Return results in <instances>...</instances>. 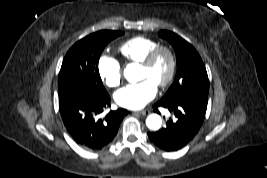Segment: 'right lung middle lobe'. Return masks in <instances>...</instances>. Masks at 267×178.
Here are the masks:
<instances>
[{"instance_id":"right-lung-middle-lobe-1","label":"right lung middle lobe","mask_w":267,"mask_h":178,"mask_svg":"<svg viewBox=\"0 0 267 178\" xmlns=\"http://www.w3.org/2000/svg\"><path fill=\"white\" fill-rule=\"evenodd\" d=\"M123 35L121 31L102 30L76 42L67 52L59 73L58 91L84 88L106 94L102 84L98 62L105 46Z\"/></svg>"}]
</instances>
